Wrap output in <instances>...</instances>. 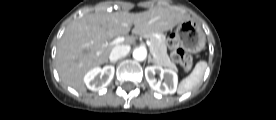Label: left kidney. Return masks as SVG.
<instances>
[{
  "instance_id": "5707ae66",
  "label": "left kidney",
  "mask_w": 276,
  "mask_h": 120,
  "mask_svg": "<svg viewBox=\"0 0 276 120\" xmlns=\"http://www.w3.org/2000/svg\"><path fill=\"white\" fill-rule=\"evenodd\" d=\"M159 74L161 80L158 81L155 75ZM145 77L150 87L162 94H172L176 90L178 83L177 74L170 69H163L161 66L154 65L145 68Z\"/></svg>"
}]
</instances>
